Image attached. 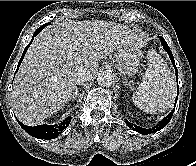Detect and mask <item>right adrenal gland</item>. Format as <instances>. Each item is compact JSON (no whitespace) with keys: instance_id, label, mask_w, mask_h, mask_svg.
<instances>
[{"instance_id":"obj_1","label":"right adrenal gland","mask_w":196,"mask_h":166,"mask_svg":"<svg viewBox=\"0 0 196 166\" xmlns=\"http://www.w3.org/2000/svg\"><path fill=\"white\" fill-rule=\"evenodd\" d=\"M77 95H78V88H76L73 97H71L69 100H75L77 98Z\"/></svg>"}]
</instances>
